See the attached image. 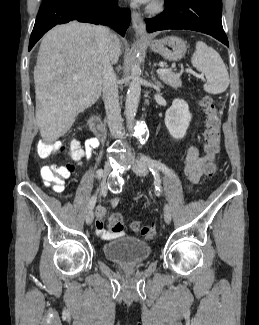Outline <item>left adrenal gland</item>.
Returning a JSON list of instances; mask_svg holds the SVG:
<instances>
[{"label": "left adrenal gland", "mask_w": 259, "mask_h": 325, "mask_svg": "<svg viewBox=\"0 0 259 325\" xmlns=\"http://www.w3.org/2000/svg\"><path fill=\"white\" fill-rule=\"evenodd\" d=\"M152 81H154L157 89L163 87L159 81H156L155 77L153 76V72H152Z\"/></svg>", "instance_id": "a2214340"}]
</instances>
